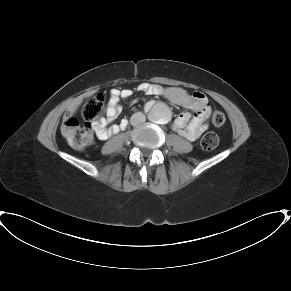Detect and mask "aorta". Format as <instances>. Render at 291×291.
I'll return each instance as SVG.
<instances>
[{"instance_id":"1","label":"aorta","mask_w":291,"mask_h":291,"mask_svg":"<svg viewBox=\"0 0 291 291\" xmlns=\"http://www.w3.org/2000/svg\"><path fill=\"white\" fill-rule=\"evenodd\" d=\"M149 118L152 122L166 124L171 119V111L164 103H156L149 111Z\"/></svg>"}]
</instances>
